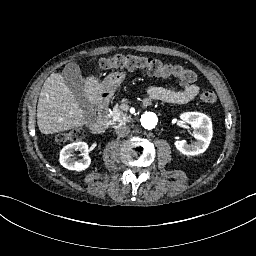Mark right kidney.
Wrapping results in <instances>:
<instances>
[{"instance_id":"right-kidney-1","label":"right kidney","mask_w":256,"mask_h":256,"mask_svg":"<svg viewBox=\"0 0 256 256\" xmlns=\"http://www.w3.org/2000/svg\"><path fill=\"white\" fill-rule=\"evenodd\" d=\"M80 151L83 156L80 160H74L71 155L74 151ZM60 164L69 169L75 171H82L89 167L91 159L89 157L88 145L85 142L71 143L63 147L60 151Z\"/></svg>"}]
</instances>
